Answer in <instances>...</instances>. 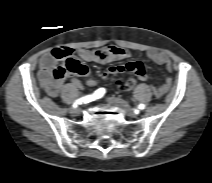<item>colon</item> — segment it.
Listing matches in <instances>:
<instances>
[{
	"label": "colon",
	"mask_w": 212,
	"mask_h": 183,
	"mask_svg": "<svg viewBox=\"0 0 212 183\" xmlns=\"http://www.w3.org/2000/svg\"><path fill=\"white\" fill-rule=\"evenodd\" d=\"M54 55L58 60H63L62 64L56 66L52 70V78L54 81H62L67 75H86L88 70L85 65L79 61L71 58L68 54L61 48L54 50ZM136 85L135 79H129L124 84V88L127 91H132Z\"/></svg>",
	"instance_id": "5ec220e1"
}]
</instances>
